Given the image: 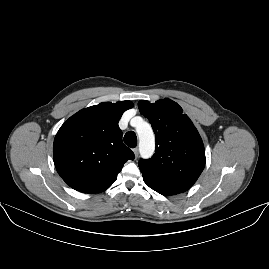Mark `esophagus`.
Segmentation results:
<instances>
[{
    "mask_svg": "<svg viewBox=\"0 0 269 269\" xmlns=\"http://www.w3.org/2000/svg\"><path fill=\"white\" fill-rule=\"evenodd\" d=\"M134 155H135V160H137L138 156H139V150L138 148H134L133 149Z\"/></svg>",
    "mask_w": 269,
    "mask_h": 269,
    "instance_id": "1",
    "label": "esophagus"
}]
</instances>
